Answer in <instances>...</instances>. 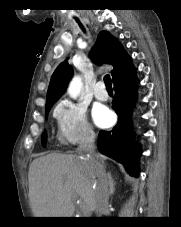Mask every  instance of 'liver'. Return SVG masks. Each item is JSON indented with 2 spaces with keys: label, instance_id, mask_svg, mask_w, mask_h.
<instances>
[{
  "label": "liver",
  "instance_id": "liver-1",
  "mask_svg": "<svg viewBox=\"0 0 181 227\" xmlns=\"http://www.w3.org/2000/svg\"><path fill=\"white\" fill-rule=\"evenodd\" d=\"M100 155L88 159L51 153L33 160L29 168V199L35 217H72L79 197L89 211L96 209V169Z\"/></svg>",
  "mask_w": 181,
  "mask_h": 227
}]
</instances>
